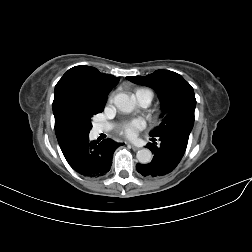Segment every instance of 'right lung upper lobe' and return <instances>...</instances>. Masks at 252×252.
<instances>
[{"mask_svg": "<svg viewBox=\"0 0 252 252\" xmlns=\"http://www.w3.org/2000/svg\"><path fill=\"white\" fill-rule=\"evenodd\" d=\"M119 78L103 74L90 66H75L69 69L55 86L52 104L55 117V133L59 145L76 136L67 117L68 105L78 101L86 105H105L107 95Z\"/></svg>", "mask_w": 252, "mask_h": 252, "instance_id": "cb5924a9", "label": "right lung upper lobe"}]
</instances>
